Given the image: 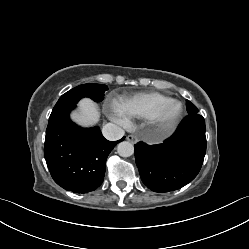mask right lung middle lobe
<instances>
[{
	"label": "right lung middle lobe",
	"mask_w": 249,
	"mask_h": 249,
	"mask_svg": "<svg viewBox=\"0 0 249 249\" xmlns=\"http://www.w3.org/2000/svg\"><path fill=\"white\" fill-rule=\"evenodd\" d=\"M108 87L103 84H83L79 85L63 94L54 106L51 115L58 113L67 107H73L84 97H89L96 102L104 98V92Z\"/></svg>",
	"instance_id": "1"
}]
</instances>
